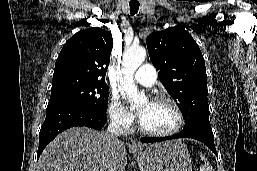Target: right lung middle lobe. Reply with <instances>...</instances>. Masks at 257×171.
Instances as JSON below:
<instances>
[{"instance_id":"obj_1","label":"right lung middle lobe","mask_w":257,"mask_h":171,"mask_svg":"<svg viewBox=\"0 0 257 171\" xmlns=\"http://www.w3.org/2000/svg\"><path fill=\"white\" fill-rule=\"evenodd\" d=\"M108 86L102 82L77 83L51 90L48 105L77 102L106 113L108 102Z\"/></svg>"}]
</instances>
